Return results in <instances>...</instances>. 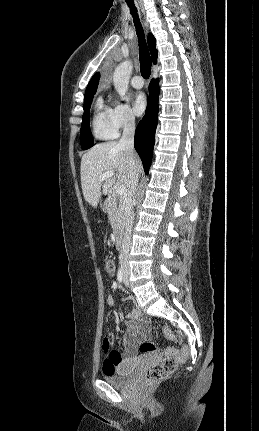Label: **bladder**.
<instances>
[{"mask_svg": "<svg viewBox=\"0 0 259 431\" xmlns=\"http://www.w3.org/2000/svg\"><path fill=\"white\" fill-rule=\"evenodd\" d=\"M137 369L138 363L131 361L121 364L111 372H104L102 376L107 383L113 386H122L129 381Z\"/></svg>", "mask_w": 259, "mask_h": 431, "instance_id": "bladder-1", "label": "bladder"}]
</instances>
